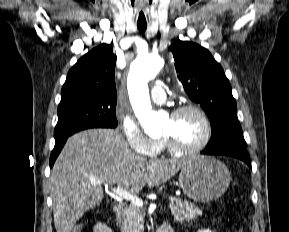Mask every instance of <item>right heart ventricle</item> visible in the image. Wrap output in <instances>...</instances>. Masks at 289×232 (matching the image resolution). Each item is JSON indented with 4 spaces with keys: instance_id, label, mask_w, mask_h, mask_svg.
<instances>
[{
    "instance_id": "e07e8e85",
    "label": "right heart ventricle",
    "mask_w": 289,
    "mask_h": 232,
    "mask_svg": "<svg viewBox=\"0 0 289 232\" xmlns=\"http://www.w3.org/2000/svg\"><path fill=\"white\" fill-rule=\"evenodd\" d=\"M164 147V144L162 143V147H161V149Z\"/></svg>"
}]
</instances>
